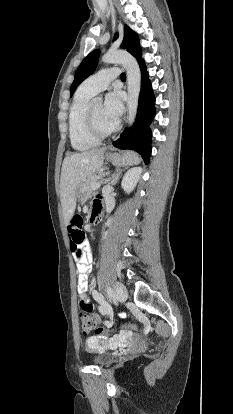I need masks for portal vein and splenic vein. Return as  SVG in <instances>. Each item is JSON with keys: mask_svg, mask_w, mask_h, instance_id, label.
<instances>
[{"mask_svg": "<svg viewBox=\"0 0 233 414\" xmlns=\"http://www.w3.org/2000/svg\"><path fill=\"white\" fill-rule=\"evenodd\" d=\"M101 186V184L100 183H94V184H92V189L93 190H96V189H98L99 187Z\"/></svg>", "mask_w": 233, "mask_h": 414, "instance_id": "obj_1", "label": "portal vein and splenic vein"}]
</instances>
